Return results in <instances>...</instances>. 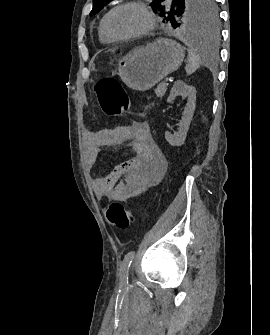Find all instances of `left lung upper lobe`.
<instances>
[{
    "label": "left lung upper lobe",
    "mask_w": 270,
    "mask_h": 335,
    "mask_svg": "<svg viewBox=\"0 0 270 335\" xmlns=\"http://www.w3.org/2000/svg\"><path fill=\"white\" fill-rule=\"evenodd\" d=\"M112 0H93L90 16L98 13ZM215 0H153V11L164 17L174 28L183 31H216L218 10Z\"/></svg>",
    "instance_id": "1"
}]
</instances>
